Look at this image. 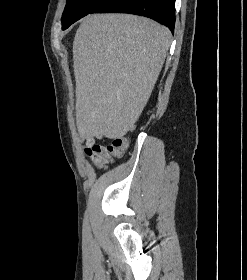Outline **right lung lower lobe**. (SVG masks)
I'll list each match as a JSON object with an SVG mask.
<instances>
[{
    "label": "right lung lower lobe",
    "instance_id": "1",
    "mask_svg": "<svg viewBox=\"0 0 247 280\" xmlns=\"http://www.w3.org/2000/svg\"><path fill=\"white\" fill-rule=\"evenodd\" d=\"M175 0H104L92 13L124 12L152 18L174 32Z\"/></svg>",
    "mask_w": 247,
    "mask_h": 280
}]
</instances>
